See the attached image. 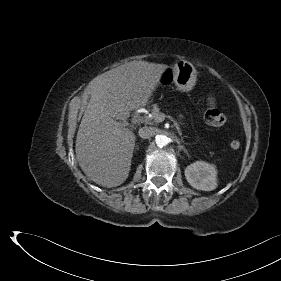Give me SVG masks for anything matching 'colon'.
<instances>
[{"label":"colon","mask_w":281,"mask_h":281,"mask_svg":"<svg viewBox=\"0 0 281 281\" xmlns=\"http://www.w3.org/2000/svg\"><path fill=\"white\" fill-rule=\"evenodd\" d=\"M226 120V114L217 108H210L205 113V121L211 126H221L226 122ZM229 145L232 149L236 150L240 147V142L233 139L230 141Z\"/></svg>","instance_id":"5ec220e1"}]
</instances>
